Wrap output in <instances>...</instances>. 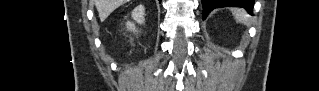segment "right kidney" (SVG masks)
I'll return each mask as SVG.
<instances>
[{
    "label": "right kidney",
    "instance_id": "ca27d5eb",
    "mask_svg": "<svg viewBox=\"0 0 319 91\" xmlns=\"http://www.w3.org/2000/svg\"><path fill=\"white\" fill-rule=\"evenodd\" d=\"M144 14H145V9L144 6L140 5L138 7H136L133 11H132V18L139 24H143L144 23ZM127 27L129 30L131 31H136L134 24L132 23H127Z\"/></svg>",
    "mask_w": 319,
    "mask_h": 91
}]
</instances>
